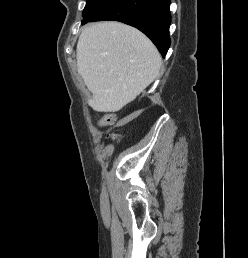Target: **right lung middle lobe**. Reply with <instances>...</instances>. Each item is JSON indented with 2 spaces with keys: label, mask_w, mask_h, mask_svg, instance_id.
Listing matches in <instances>:
<instances>
[{
  "label": "right lung middle lobe",
  "mask_w": 248,
  "mask_h": 258,
  "mask_svg": "<svg viewBox=\"0 0 248 258\" xmlns=\"http://www.w3.org/2000/svg\"><path fill=\"white\" fill-rule=\"evenodd\" d=\"M115 1L116 0H87L82 13L83 21L95 18Z\"/></svg>",
  "instance_id": "dd1d6c3e"
}]
</instances>
